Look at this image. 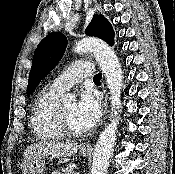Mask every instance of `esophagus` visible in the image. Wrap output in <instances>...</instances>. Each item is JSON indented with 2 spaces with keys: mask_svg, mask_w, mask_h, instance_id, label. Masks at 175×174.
<instances>
[{
  "mask_svg": "<svg viewBox=\"0 0 175 174\" xmlns=\"http://www.w3.org/2000/svg\"><path fill=\"white\" fill-rule=\"evenodd\" d=\"M103 92H104L103 104H104V108H105V114H107V112H108V94H107V90L104 86H103ZM82 148L89 150V149H91V144L90 143H85V144L82 145Z\"/></svg>",
  "mask_w": 175,
  "mask_h": 174,
  "instance_id": "1",
  "label": "esophagus"
}]
</instances>
